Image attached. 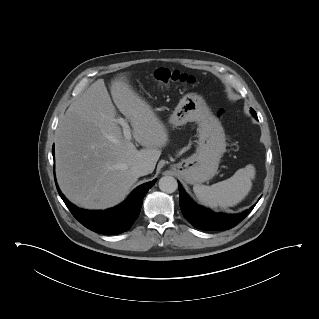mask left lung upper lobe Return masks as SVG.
<instances>
[{
    "mask_svg": "<svg viewBox=\"0 0 319 319\" xmlns=\"http://www.w3.org/2000/svg\"><path fill=\"white\" fill-rule=\"evenodd\" d=\"M251 112H252V114L254 115V116H257L256 115V113H255V111L251 108Z\"/></svg>",
    "mask_w": 319,
    "mask_h": 319,
    "instance_id": "obj_1",
    "label": "left lung upper lobe"
}]
</instances>
